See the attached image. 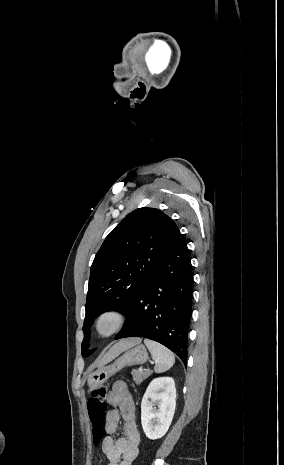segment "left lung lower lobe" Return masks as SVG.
Wrapping results in <instances>:
<instances>
[{
	"label": "left lung lower lobe",
	"instance_id": "0a47b994",
	"mask_svg": "<svg viewBox=\"0 0 284 465\" xmlns=\"http://www.w3.org/2000/svg\"><path fill=\"white\" fill-rule=\"evenodd\" d=\"M193 283L188 248L180 234L135 296L115 339L144 337L157 341L186 365Z\"/></svg>",
	"mask_w": 284,
	"mask_h": 465
}]
</instances>
